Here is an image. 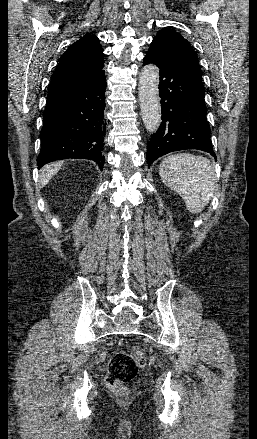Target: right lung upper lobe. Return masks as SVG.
Segmentation results:
<instances>
[{
  "label": "right lung upper lobe",
  "instance_id": "1",
  "mask_svg": "<svg viewBox=\"0 0 257 439\" xmlns=\"http://www.w3.org/2000/svg\"><path fill=\"white\" fill-rule=\"evenodd\" d=\"M104 53L99 39L95 35L86 34L60 57L52 75L49 92L63 88L102 71Z\"/></svg>",
  "mask_w": 257,
  "mask_h": 439
}]
</instances>
